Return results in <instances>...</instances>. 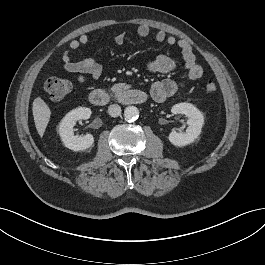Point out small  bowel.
<instances>
[{"label": "small bowel", "instance_id": "c3829d8e", "mask_svg": "<svg viewBox=\"0 0 265 265\" xmlns=\"http://www.w3.org/2000/svg\"><path fill=\"white\" fill-rule=\"evenodd\" d=\"M151 29L148 25H140L137 29V35L141 38L148 37ZM155 39L158 42H165L169 46H177L180 49L184 66L186 69L185 80L176 82L173 80H162L156 82L150 94L154 101L164 102L171 96L175 95L187 82L196 81L203 75L202 66L196 61L195 54L190 44L184 39H177L174 36L168 35L164 30H158L155 33ZM114 42L118 45L126 40V33L121 32L114 36ZM89 43V37L85 34L72 40L68 48L62 53V62L64 69L73 75L75 81L80 84H85L89 81L97 80L102 74V66L95 57H84L79 61H74L73 57L77 50L86 46ZM176 62L173 58L160 55L147 62L146 67L154 73H168L176 68Z\"/></svg>", "mask_w": 265, "mask_h": 265}]
</instances>
